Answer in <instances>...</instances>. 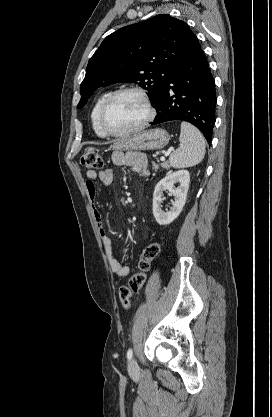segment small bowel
I'll return each instance as SVG.
<instances>
[{
    "label": "small bowel",
    "instance_id": "small-bowel-1",
    "mask_svg": "<svg viewBox=\"0 0 272 417\" xmlns=\"http://www.w3.org/2000/svg\"><path fill=\"white\" fill-rule=\"evenodd\" d=\"M112 162L115 166L127 167L136 172L137 174L147 177L149 175L147 157L140 152H121L116 151L112 154ZM86 191L93 207V214L97 223L99 233L102 239L103 247L108 259V264L111 271L119 277H125L129 274L130 269L128 266L123 265L113 253V241L107 233L104 224L103 216L96 206L97 187L95 180H100L103 184L109 185L112 183L115 171L114 169H106L96 172L94 170H88L86 172Z\"/></svg>",
    "mask_w": 272,
    "mask_h": 417
}]
</instances>
